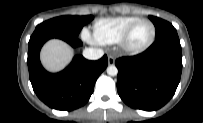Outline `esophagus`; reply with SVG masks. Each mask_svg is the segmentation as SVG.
<instances>
[{
  "label": "esophagus",
  "instance_id": "esophagus-1",
  "mask_svg": "<svg viewBox=\"0 0 203 123\" xmlns=\"http://www.w3.org/2000/svg\"><path fill=\"white\" fill-rule=\"evenodd\" d=\"M115 63V58L111 55L108 56V64L113 65Z\"/></svg>",
  "mask_w": 203,
  "mask_h": 123
}]
</instances>
